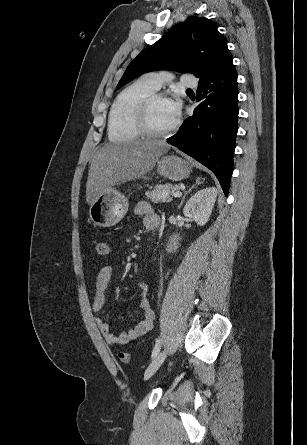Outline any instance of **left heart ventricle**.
<instances>
[{
	"label": "left heart ventricle",
	"mask_w": 307,
	"mask_h": 445,
	"mask_svg": "<svg viewBox=\"0 0 307 445\" xmlns=\"http://www.w3.org/2000/svg\"><path fill=\"white\" fill-rule=\"evenodd\" d=\"M151 126L158 131H164L170 128L175 120L169 115L164 99H158L153 102L149 111Z\"/></svg>",
	"instance_id": "obj_1"
}]
</instances>
